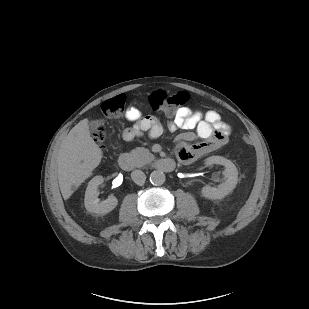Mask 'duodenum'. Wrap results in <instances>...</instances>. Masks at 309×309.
Here are the masks:
<instances>
[{
	"label": "duodenum",
	"mask_w": 309,
	"mask_h": 309,
	"mask_svg": "<svg viewBox=\"0 0 309 309\" xmlns=\"http://www.w3.org/2000/svg\"><path fill=\"white\" fill-rule=\"evenodd\" d=\"M118 164L119 166L126 171H130L134 169L135 164L133 158L126 153H123L118 158ZM154 167L161 172H171L173 171L175 167V163L172 159L165 158V159H159L154 163Z\"/></svg>",
	"instance_id": "obj_1"
}]
</instances>
